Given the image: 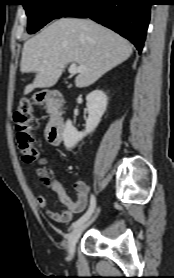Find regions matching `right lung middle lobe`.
Returning a JSON list of instances; mask_svg holds the SVG:
<instances>
[{"label": "right lung middle lobe", "instance_id": "dd1d6c3e", "mask_svg": "<svg viewBox=\"0 0 174 278\" xmlns=\"http://www.w3.org/2000/svg\"><path fill=\"white\" fill-rule=\"evenodd\" d=\"M78 0H23L28 16L27 31L32 34L53 19L62 17Z\"/></svg>", "mask_w": 174, "mask_h": 278}]
</instances>
